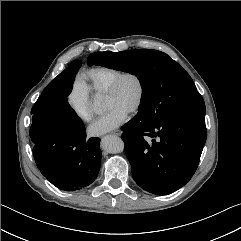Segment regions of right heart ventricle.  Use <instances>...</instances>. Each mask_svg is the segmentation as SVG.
Masks as SVG:
<instances>
[{
  "label": "right heart ventricle",
  "mask_w": 241,
  "mask_h": 241,
  "mask_svg": "<svg viewBox=\"0 0 241 241\" xmlns=\"http://www.w3.org/2000/svg\"><path fill=\"white\" fill-rule=\"evenodd\" d=\"M121 70L109 66H92L82 72L83 84L92 94H102Z\"/></svg>",
  "instance_id": "obj_1"
}]
</instances>
